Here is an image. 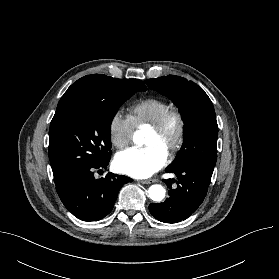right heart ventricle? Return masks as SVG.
I'll return each mask as SVG.
<instances>
[{"label":"right heart ventricle","mask_w":279,"mask_h":279,"mask_svg":"<svg viewBox=\"0 0 279 279\" xmlns=\"http://www.w3.org/2000/svg\"><path fill=\"white\" fill-rule=\"evenodd\" d=\"M170 107V104L163 99L155 97L146 98L130 107L129 116L136 128L146 125L151 126Z\"/></svg>","instance_id":"e07e8e85"}]
</instances>
